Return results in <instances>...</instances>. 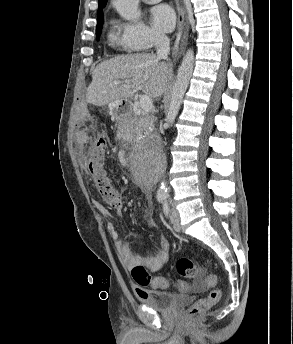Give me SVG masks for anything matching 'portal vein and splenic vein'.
Here are the masks:
<instances>
[{
    "label": "portal vein and splenic vein",
    "instance_id": "obj_1",
    "mask_svg": "<svg viewBox=\"0 0 293 344\" xmlns=\"http://www.w3.org/2000/svg\"><path fill=\"white\" fill-rule=\"evenodd\" d=\"M115 84H120V81H114ZM140 107L143 112L148 113L153 108V102L151 97L143 95L140 97Z\"/></svg>",
    "mask_w": 293,
    "mask_h": 344
}]
</instances>
